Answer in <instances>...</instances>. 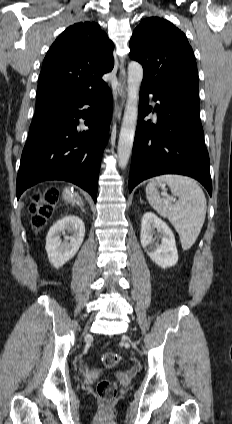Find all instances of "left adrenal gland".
I'll list each match as a JSON object with an SVG mask.
<instances>
[{
    "mask_svg": "<svg viewBox=\"0 0 232 424\" xmlns=\"http://www.w3.org/2000/svg\"><path fill=\"white\" fill-rule=\"evenodd\" d=\"M141 204H143L144 202L142 200H140Z\"/></svg>",
    "mask_w": 232,
    "mask_h": 424,
    "instance_id": "a2214340",
    "label": "left adrenal gland"
}]
</instances>
